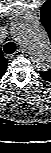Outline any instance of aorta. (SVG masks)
I'll return each instance as SVG.
<instances>
[{
  "mask_svg": "<svg viewBox=\"0 0 51 153\" xmlns=\"http://www.w3.org/2000/svg\"><path fill=\"white\" fill-rule=\"evenodd\" d=\"M11 34L29 53L34 67L47 71L51 67V45L45 29L27 19L19 18L11 23Z\"/></svg>",
  "mask_w": 51,
  "mask_h": 153,
  "instance_id": "aorta-1",
  "label": "aorta"
}]
</instances>
